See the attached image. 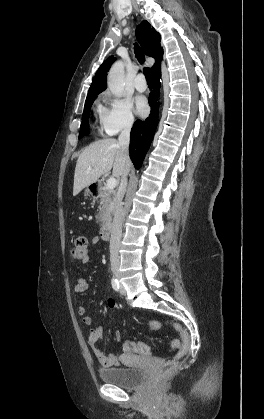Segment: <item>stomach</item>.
Returning a JSON list of instances; mask_svg holds the SVG:
<instances>
[{
    "label": "stomach",
    "mask_w": 264,
    "mask_h": 419,
    "mask_svg": "<svg viewBox=\"0 0 264 419\" xmlns=\"http://www.w3.org/2000/svg\"><path fill=\"white\" fill-rule=\"evenodd\" d=\"M85 196H87V197L94 196L93 192L90 190L89 187H87L86 190H85Z\"/></svg>",
    "instance_id": "0dacf381"
}]
</instances>
